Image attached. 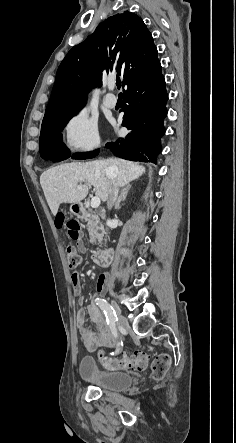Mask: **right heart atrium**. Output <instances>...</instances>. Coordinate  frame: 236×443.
Masks as SVG:
<instances>
[{
    "label": "right heart atrium",
    "instance_id": "obj_1",
    "mask_svg": "<svg viewBox=\"0 0 236 443\" xmlns=\"http://www.w3.org/2000/svg\"><path fill=\"white\" fill-rule=\"evenodd\" d=\"M65 148L73 154H89L100 145V134L95 118L85 109L73 113L63 126Z\"/></svg>",
    "mask_w": 236,
    "mask_h": 443
}]
</instances>
